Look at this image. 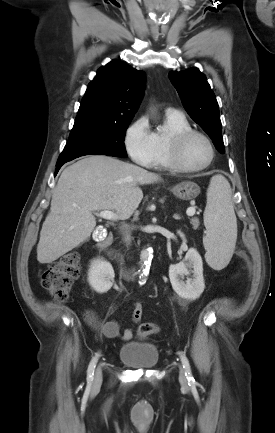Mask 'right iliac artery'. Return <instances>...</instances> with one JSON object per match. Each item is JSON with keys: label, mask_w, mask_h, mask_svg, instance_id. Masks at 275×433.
Here are the masks:
<instances>
[{"label": "right iliac artery", "mask_w": 275, "mask_h": 433, "mask_svg": "<svg viewBox=\"0 0 275 433\" xmlns=\"http://www.w3.org/2000/svg\"><path fill=\"white\" fill-rule=\"evenodd\" d=\"M99 358V353H97L91 360L88 369H87V381L88 383H91L93 381V375H94V370L96 367V363L98 361Z\"/></svg>", "instance_id": "82829eb1"}]
</instances>
